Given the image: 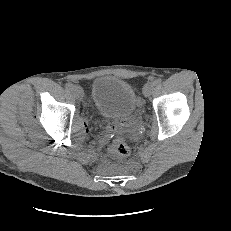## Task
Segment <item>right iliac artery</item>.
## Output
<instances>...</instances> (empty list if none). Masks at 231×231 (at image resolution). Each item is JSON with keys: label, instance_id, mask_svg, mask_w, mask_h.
I'll return each instance as SVG.
<instances>
[{"label": "right iliac artery", "instance_id": "obj_1", "mask_svg": "<svg viewBox=\"0 0 231 231\" xmlns=\"http://www.w3.org/2000/svg\"><path fill=\"white\" fill-rule=\"evenodd\" d=\"M72 87H73V85H72L71 83H66V84H65V88H66L67 90H71Z\"/></svg>", "mask_w": 231, "mask_h": 231}]
</instances>
